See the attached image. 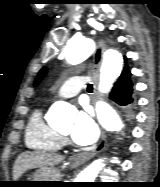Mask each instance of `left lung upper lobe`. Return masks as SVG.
Here are the masks:
<instances>
[{"label":"left lung upper lobe","mask_w":160,"mask_h":187,"mask_svg":"<svg viewBox=\"0 0 160 187\" xmlns=\"http://www.w3.org/2000/svg\"><path fill=\"white\" fill-rule=\"evenodd\" d=\"M46 74V68L44 67L38 74L35 84L37 85L41 78Z\"/></svg>","instance_id":"obj_1"}]
</instances>
